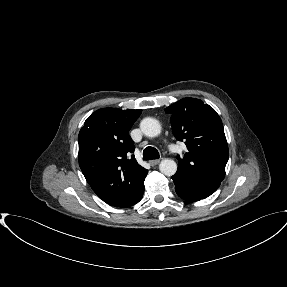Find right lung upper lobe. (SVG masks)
Here are the masks:
<instances>
[{"label":"right lung upper lobe","instance_id":"1","mask_svg":"<svg viewBox=\"0 0 287 287\" xmlns=\"http://www.w3.org/2000/svg\"><path fill=\"white\" fill-rule=\"evenodd\" d=\"M141 110L103 108L92 113L79 132V165L104 202L127 207L144 185L147 170L134 155L129 130Z\"/></svg>","mask_w":287,"mask_h":287}]
</instances>
